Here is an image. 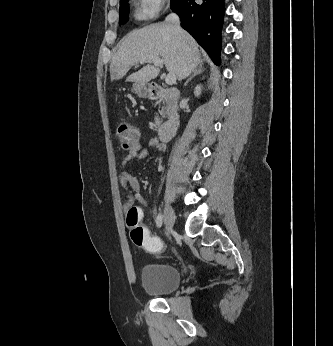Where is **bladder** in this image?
I'll return each instance as SVG.
<instances>
[{
  "label": "bladder",
  "instance_id": "1",
  "mask_svg": "<svg viewBox=\"0 0 333 346\" xmlns=\"http://www.w3.org/2000/svg\"><path fill=\"white\" fill-rule=\"evenodd\" d=\"M181 283V273L178 268L168 264L145 266L141 274V284L144 290L153 296L162 297L176 291Z\"/></svg>",
  "mask_w": 333,
  "mask_h": 346
}]
</instances>
